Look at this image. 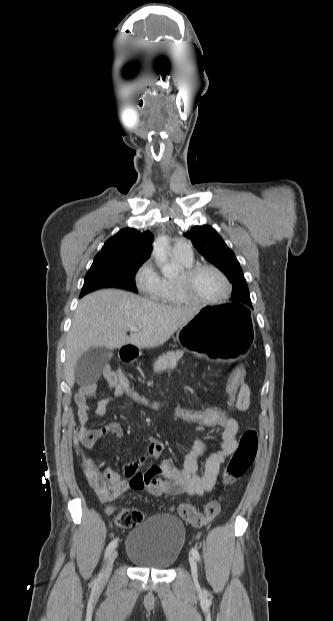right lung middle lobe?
<instances>
[{
	"label": "right lung middle lobe",
	"instance_id": "1",
	"mask_svg": "<svg viewBox=\"0 0 333 621\" xmlns=\"http://www.w3.org/2000/svg\"><path fill=\"white\" fill-rule=\"evenodd\" d=\"M142 264L137 261L93 262L85 277L80 297L103 287H117L137 293L133 277Z\"/></svg>",
	"mask_w": 333,
	"mask_h": 621
}]
</instances>
